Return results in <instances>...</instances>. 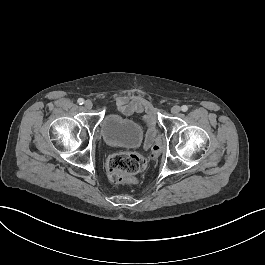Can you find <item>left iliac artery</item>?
I'll return each mask as SVG.
<instances>
[{
	"label": "left iliac artery",
	"instance_id": "left-iliac-artery-1",
	"mask_svg": "<svg viewBox=\"0 0 265 265\" xmlns=\"http://www.w3.org/2000/svg\"><path fill=\"white\" fill-rule=\"evenodd\" d=\"M181 110H182L183 112H186V111L188 110V106L183 105V106L181 107Z\"/></svg>",
	"mask_w": 265,
	"mask_h": 265
}]
</instances>
